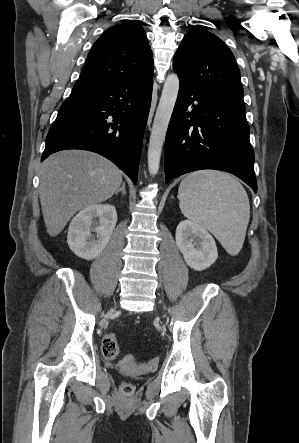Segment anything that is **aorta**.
Listing matches in <instances>:
<instances>
[{
	"instance_id": "aorta-1",
	"label": "aorta",
	"mask_w": 299,
	"mask_h": 443,
	"mask_svg": "<svg viewBox=\"0 0 299 443\" xmlns=\"http://www.w3.org/2000/svg\"><path fill=\"white\" fill-rule=\"evenodd\" d=\"M179 91V78L176 74L167 76L162 95L156 110L148 146V169L151 175L159 171L160 158L168 125Z\"/></svg>"
}]
</instances>
